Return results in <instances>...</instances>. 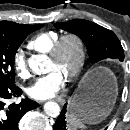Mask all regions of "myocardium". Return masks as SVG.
<instances>
[{
    "instance_id": "obj_1",
    "label": "myocardium",
    "mask_w": 130,
    "mask_h": 130,
    "mask_svg": "<svg viewBox=\"0 0 130 130\" xmlns=\"http://www.w3.org/2000/svg\"><path fill=\"white\" fill-rule=\"evenodd\" d=\"M68 41L75 43L77 47V59L73 68L66 74L68 80L76 78L83 69L85 59H86V45L83 38L77 33L69 32L61 35L53 44L51 50L49 51V57L52 60H58L61 56L64 44Z\"/></svg>"
}]
</instances>
